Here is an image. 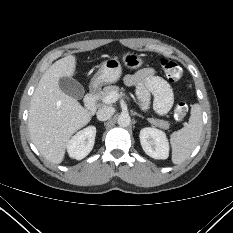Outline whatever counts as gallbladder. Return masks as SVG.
<instances>
[{"label": "gallbladder", "mask_w": 233, "mask_h": 233, "mask_svg": "<svg viewBox=\"0 0 233 233\" xmlns=\"http://www.w3.org/2000/svg\"><path fill=\"white\" fill-rule=\"evenodd\" d=\"M59 85L63 92L76 99H81L84 96L85 90L83 86L74 79L62 78L59 81Z\"/></svg>", "instance_id": "bac80fb5"}]
</instances>
